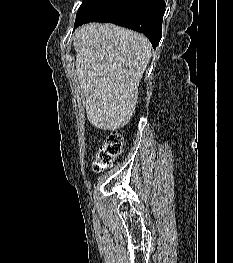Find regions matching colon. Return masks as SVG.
<instances>
[{
	"mask_svg": "<svg viewBox=\"0 0 233 263\" xmlns=\"http://www.w3.org/2000/svg\"><path fill=\"white\" fill-rule=\"evenodd\" d=\"M124 145L125 138L121 131L116 129L108 131L103 145L98 150L93 169L99 172L109 168L122 153Z\"/></svg>",
	"mask_w": 233,
	"mask_h": 263,
	"instance_id": "obj_1",
	"label": "colon"
}]
</instances>
